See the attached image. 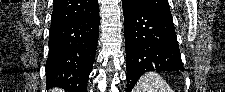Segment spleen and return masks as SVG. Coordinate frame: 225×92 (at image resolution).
I'll return each instance as SVG.
<instances>
[{"instance_id":"spleen-1","label":"spleen","mask_w":225,"mask_h":92,"mask_svg":"<svg viewBox=\"0 0 225 92\" xmlns=\"http://www.w3.org/2000/svg\"><path fill=\"white\" fill-rule=\"evenodd\" d=\"M133 92H173L170 86L156 72H148L144 74L137 84Z\"/></svg>"}]
</instances>
